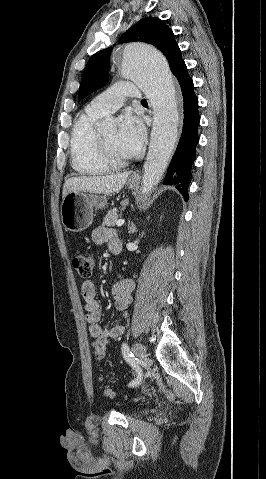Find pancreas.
Listing matches in <instances>:
<instances>
[{
    "label": "pancreas",
    "mask_w": 266,
    "mask_h": 479,
    "mask_svg": "<svg viewBox=\"0 0 266 479\" xmlns=\"http://www.w3.org/2000/svg\"><path fill=\"white\" fill-rule=\"evenodd\" d=\"M118 214H117V210L114 209V210H110L108 211V213L106 214V216L104 217V220H103V225H106V226H114L116 221L118 220Z\"/></svg>",
    "instance_id": "1"
}]
</instances>
